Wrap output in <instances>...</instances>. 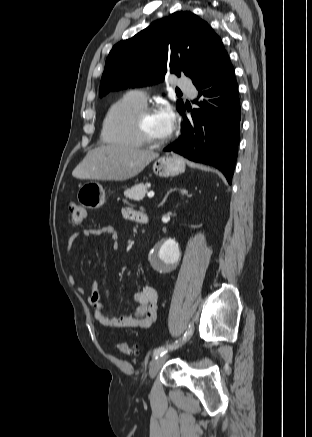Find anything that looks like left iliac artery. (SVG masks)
I'll return each instance as SVG.
<instances>
[{"instance_id":"1","label":"left iliac artery","mask_w":312,"mask_h":437,"mask_svg":"<svg viewBox=\"0 0 312 437\" xmlns=\"http://www.w3.org/2000/svg\"><path fill=\"white\" fill-rule=\"evenodd\" d=\"M190 335H191V330L187 331L184 334L183 339H186ZM176 345H178V341H176L174 345L162 346V347L155 349L153 352V357L158 358L159 356H163L168 351V349L173 348Z\"/></svg>"}]
</instances>
